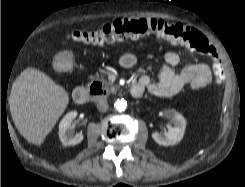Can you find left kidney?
<instances>
[{"label":"left kidney","mask_w":245,"mask_h":187,"mask_svg":"<svg viewBox=\"0 0 245 187\" xmlns=\"http://www.w3.org/2000/svg\"><path fill=\"white\" fill-rule=\"evenodd\" d=\"M162 116L171 120L174 124L173 127H169L168 131L164 134L154 132L152 133V138L159 145L172 146L180 142L183 138L186 120L185 118L174 109H165L162 111Z\"/></svg>","instance_id":"obj_1"}]
</instances>
